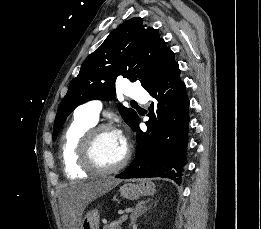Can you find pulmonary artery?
I'll list each match as a JSON object with an SVG mask.
<instances>
[{
    "mask_svg": "<svg viewBox=\"0 0 261 229\" xmlns=\"http://www.w3.org/2000/svg\"><path fill=\"white\" fill-rule=\"evenodd\" d=\"M130 90L125 94L131 99H147V89H142V84H129ZM138 105H147V100H138ZM103 108V102L99 99H94L80 106V111L83 116L88 118L93 123H97L99 114Z\"/></svg>",
    "mask_w": 261,
    "mask_h": 229,
    "instance_id": "obj_1",
    "label": "pulmonary artery"
}]
</instances>
